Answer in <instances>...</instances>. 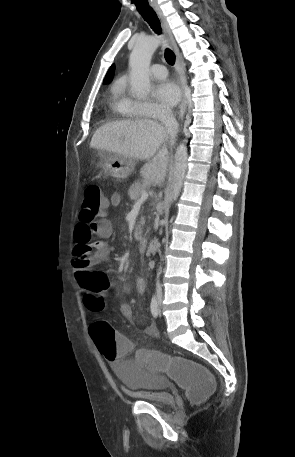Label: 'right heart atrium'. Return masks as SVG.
Instances as JSON below:
<instances>
[{"label":"right heart atrium","mask_w":295,"mask_h":457,"mask_svg":"<svg viewBox=\"0 0 295 457\" xmlns=\"http://www.w3.org/2000/svg\"><path fill=\"white\" fill-rule=\"evenodd\" d=\"M135 106L139 116L153 119H162L170 115L169 108L155 102L136 101Z\"/></svg>","instance_id":"right-heart-atrium-1"}]
</instances>
